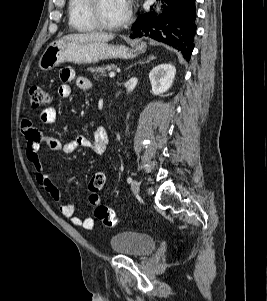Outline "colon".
<instances>
[{"label":"colon","mask_w":267,"mask_h":301,"mask_svg":"<svg viewBox=\"0 0 267 301\" xmlns=\"http://www.w3.org/2000/svg\"><path fill=\"white\" fill-rule=\"evenodd\" d=\"M30 102L33 108H40L45 106L49 100V94L39 85H33L29 89ZM105 182L104 172H97L93 175L89 182V201L94 206V214L98 220H100L107 227H114L117 222V216L115 212L106 205H103L99 201L98 192L102 188Z\"/></svg>","instance_id":"colon-1"}]
</instances>
